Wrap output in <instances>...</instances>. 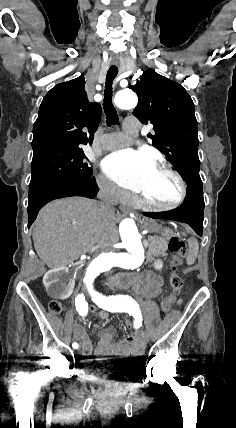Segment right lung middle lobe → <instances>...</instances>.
Returning <instances> with one entry per match:
<instances>
[{"instance_id": "1", "label": "right lung middle lobe", "mask_w": 236, "mask_h": 428, "mask_svg": "<svg viewBox=\"0 0 236 428\" xmlns=\"http://www.w3.org/2000/svg\"><path fill=\"white\" fill-rule=\"evenodd\" d=\"M82 145H48L33 149L29 187L59 179L91 178L92 168L85 162Z\"/></svg>"}]
</instances>
